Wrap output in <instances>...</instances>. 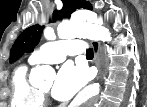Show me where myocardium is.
<instances>
[{
  "label": "myocardium",
  "mask_w": 147,
  "mask_h": 107,
  "mask_svg": "<svg viewBox=\"0 0 147 107\" xmlns=\"http://www.w3.org/2000/svg\"><path fill=\"white\" fill-rule=\"evenodd\" d=\"M40 95L42 96V98H45V99H49V92L48 91H45L43 89H38Z\"/></svg>",
  "instance_id": "obj_1"
}]
</instances>
